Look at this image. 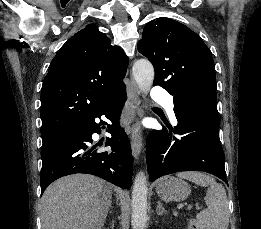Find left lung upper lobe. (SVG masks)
Returning a JSON list of instances; mask_svg holds the SVG:
<instances>
[{"label":"left lung upper lobe","instance_id":"left-lung-upper-lobe-1","mask_svg":"<svg viewBox=\"0 0 261 229\" xmlns=\"http://www.w3.org/2000/svg\"><path fill=\"white\" fill-rule=\"evenodd\" d=\"M137 47L154 66V85L173 96L174 110L200 106L218 113L213 58L198 34L175 20L158 18L145 25Z\"/></svg>","mask_w":261,"mask_h":229}]
</instances>
